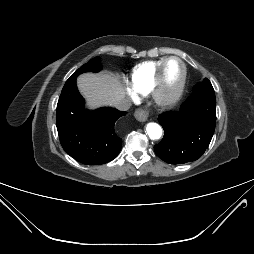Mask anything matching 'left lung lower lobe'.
Returning a JSON list of instances; mask_svg holds the SVG:
<instances>
[{
	"label": "left lung lower lobe",
	"instance_id": "left-lung-lower-lobe-1",
	"mask_svg": "<svg viewBox=\"0 0 254 254\" xmlns=\"http://www.w3.org/2000/svg\"><path fill=\"white\" fill-rule=\"evenodd\" d=\"M158 121L164 137L154 146L157 156L169 164L195 161L204 154L214 134L215 96L192 94L179 112H165Z\"/></svg>",
	"mask_w": 254,
	"mask_h": 254
}]
</instances>
